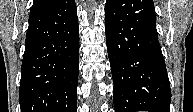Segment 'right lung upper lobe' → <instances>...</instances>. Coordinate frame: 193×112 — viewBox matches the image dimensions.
I'll return each instance as SVG.
<instances>
[{"instance_id":"obj_1","label":"right lung upper lobe","mask_w":193,"mask_h":112,"mask_svg":"<svg viewBox=\"0 0 193 112\" xmlns=\"http://www.w3.org/2000/svg\"><path fill=\"white\" fill-rule=\"evenodd\" d=\"M57 0H34L33 6L31 7L30 14L43 10L49 7L51 4Z\"/></svg>"}]
</instances>
